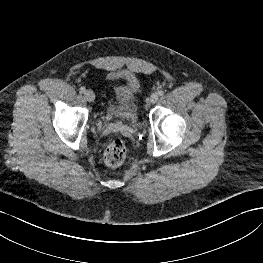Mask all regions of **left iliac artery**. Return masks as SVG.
<instances>
[{"label":"left iliac artery","instance_id":"obj_1","mask_svg":"<svg viewBox=\"0 0 263 263\" xmlns=\"http://www.w3.org/2000/svg\"><path fill=\"white\" fill-rule=\"evenodd\" d=\"M158 95L159 96H163L164 95V92L162 90L158 91Z\"/></svg>","mask_w":263,"mask_h":263}]
</instances>
